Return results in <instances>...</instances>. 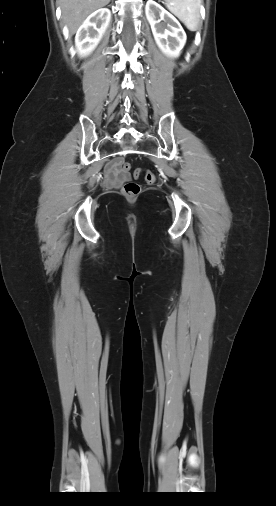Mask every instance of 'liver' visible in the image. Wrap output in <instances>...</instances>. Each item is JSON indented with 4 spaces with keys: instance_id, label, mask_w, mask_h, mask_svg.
I'll return each instance as SVG.
<instances>
[{
    "instance_id": "obj_1",
    "label": "liver",
    "mask_w": 276,
    "mask_h": 506,
    "mask_svg": "<svg viewBox=\"0 0 276 506\" xmlns=\"http://www.w3.org/2000/svg\"><path fill=\"white\" fill-rule=\"evenodd\" d=\"M110 0H59L62 19L68 26L70 34H74L85 18L106 6Z\"/></svg>"
}]
</instances>
